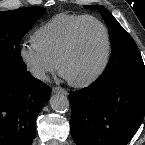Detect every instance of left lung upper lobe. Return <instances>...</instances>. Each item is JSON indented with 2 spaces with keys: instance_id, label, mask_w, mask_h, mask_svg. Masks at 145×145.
Instances as JSON below:
<instances>
[{
  "instance_id": "1",
  "label": "left lung upper lobe",
  "mask_w": 145,
  "mask_h": 145,
  "mask_svg": "<svg viewBox=\"0 0 145 145\" xmlns=\"http://www.w3.org/2000/svg\"><path fill=\"white\" fill-rule=\"evenodd\" d=\"M86 8L97 10L103 16L112 44L111 58L96 82L104 84L122 76L145 73V66L135 41L113 15L101 5Z\"/></svg>"
}]
</instances>
